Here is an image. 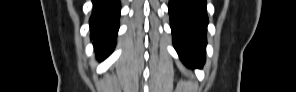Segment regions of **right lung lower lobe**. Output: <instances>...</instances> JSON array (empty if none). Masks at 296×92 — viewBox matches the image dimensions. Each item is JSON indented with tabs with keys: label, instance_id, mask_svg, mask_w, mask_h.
Segmentation results:
<instances>
[{
	"label": "right lung lower lobe",
	"instance_id": "98d812e1",
	"mask_svg": "<svg viewBox=\"0 0 296 92\" xmlns=\"http://www.w3.org/2000/svg\"><path fill=\"white\" fill-rule=\"evenodd\" d=\"M93 12L90 17L91 39L99 60L105 59L115 46L119 29L120 1L92 0Z\"/></svg>",
	"mask_w": 296,
	"mask_h": 92
}]
</instances>
